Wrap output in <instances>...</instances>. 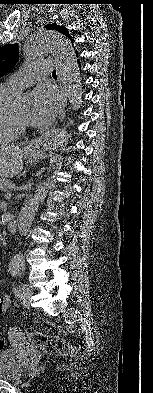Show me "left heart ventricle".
<instances>
[{
    "mask_svg": "<svg viewBox=\"0 0 153 393\" xmlns=\"http://www.w3.org/2000/svg\"><path fill=\"white\" fill-rule=\"evenodd\" d=\"M14 113L18 116V118L20 120L28 123L29 115H30V109H29L28 105H24V106L17 108Z\"/></svg>",
    "mask_w": 153,
    "mask_h": 393,
    "instance_id": "left-heart-ventricle-1",
    "label": "left heart ventricle"
}]
</instances>
